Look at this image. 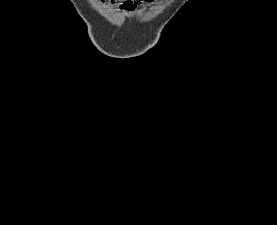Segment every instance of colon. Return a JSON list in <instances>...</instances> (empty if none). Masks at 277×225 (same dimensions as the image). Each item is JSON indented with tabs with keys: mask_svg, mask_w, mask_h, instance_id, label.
Listing matches in <instances>:
<instances>
[{
	"mask_svg": "<svg viewBox=\"0 0 277 225\" xmlns=\"http://www.w3.org/2000/svg\"><path fill=\"white\" fill-rule=\"evenodd\" d=\"M119 0H100L101 3L103 4H113L117 3ZM125 9H132L135 4L133 0H125L122 5Z\"/></svg>",
	"mask_w": 277,
	"mask_h": 225,
	"instance_id": "5ec220e1",
	"label": "colon"
}]
</instances>
